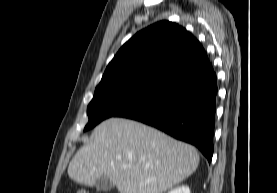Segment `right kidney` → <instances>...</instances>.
<instances>
[{
  "instance_id": "right-kidney-1",
  "label": "right kidney",
  "mask_w": 277,
  "mask_h": 193,
  "mask_svg": "<svg viewBox=\"0 0 277 193\" xmlns=\"http://www.w3.org/2000/svg\"><path fill=\"white\" fill-rule=\"evenodd\" d=\"M168 193H190V189L188 186H180L169 191Z\"/></svg>"
}]
</instances>
